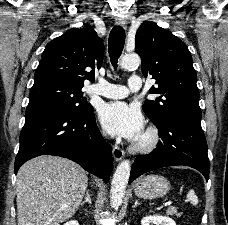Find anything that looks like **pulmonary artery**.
<instances>
[{
	"label": "pulmonary artery",
	"instance_id": "pulmonary-artery-1",
	"mask_svg": "<svg viewBox=\"0 0 228 225\" xmlns=\"http://www.w3.org/2000/svg\"><path fill=\"white\" fill-rule=\"evenodd\" d=\"M132 80H141V75H132ZM127 85V90L133 93V90H142V81H130ZM123 86L100 81L98 84H92L87 88L88 93L97 94L106 98L120 99L128 96L127 91Z\"/></svg>",
	"mask_w": 228,
	"mask_h": 225
}]
</instances>
